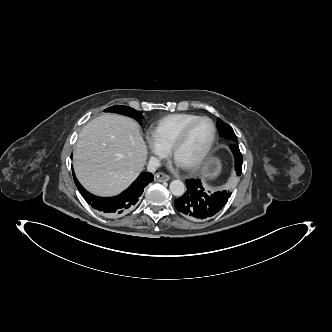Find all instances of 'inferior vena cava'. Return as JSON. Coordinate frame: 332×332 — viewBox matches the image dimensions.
<instances>
[{
    "instance_id": "inferior-vena-cava-1",
    "label": "inferior vena cava",
    "mask_w": 332,
    "mask_h": 332,
    "mask_svg": "<svg viewBox=\"0 0 332 332\" xmlns=\"http://www.w3.org/2000/svg\"><path fill=\"white\" fill-rule=\"evenodd\" d=\"M161 166L160 160L157 157H151L148 163V171L155 172L157 168Z\"/></svg>"
}]
</instances>
